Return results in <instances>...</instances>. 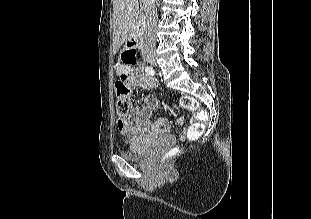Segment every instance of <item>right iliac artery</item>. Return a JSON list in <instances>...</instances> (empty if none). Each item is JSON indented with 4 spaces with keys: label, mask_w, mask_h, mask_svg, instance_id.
Instances as JSON below:
<instances>
[{
    "label": "right iliac artery",
    "mask_w": 311,
    "mask_h": 219,
    "mask_svg": "<svg viewBox=\"0 0 311 219\" xmlns=\"http://www.w3.org/2000/svg\"><path fill=\"white\" fill-rule=\"evenodd\" d=\"M145 71L147 74L152 75V76L155 74V71L151 66H146Z\"/></svg>",
    "instance_id": "1"
}]
</instances>
